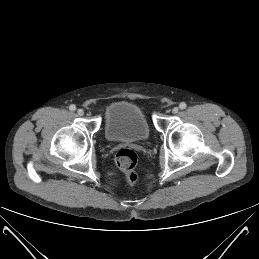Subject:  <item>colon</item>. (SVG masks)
Returning a JSON list of instances; mask_svg holds the SVG:
<instances>
[{"instance_id":"5ec220e1","label":"colon","mask_w":259,"mask_h":259,"mask_svg":"<svg viewBox=\"0 0 259 259\" xmlns=\"http://www.w3.org/2000/svg\"><path fill=\"white\" fill-rule=\"evenodd\" d=\"M116 164L118 168L124 173L125 178L129 184H135L137 181V173L135 171L138 156L135 151L124 148L116 154Z\"/></svg>"}]
</instances>
